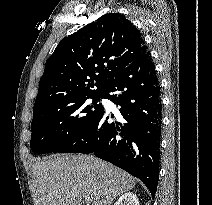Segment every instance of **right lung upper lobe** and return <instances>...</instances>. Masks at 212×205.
Instances as JSON below:
<instances>
[{
	"label": "right lung upper lobe",
	"mask_w": 212,
	"mask_h": 205,
	"mask_svg": "<svg viewBox=\"0 0 212 205\" xmlns=\"http://www.w3.org/2000/svg\"><path fill=\"white\" fill-rule=\"evenodd\" d=\"M148 51L125 16L108 13L64 38L47 59L33 112L103 93L108 83Z\"/></svg>",
	"instance_id": "right-lung-upper-lobe-1"
}]
</instances>
